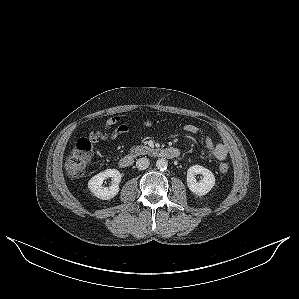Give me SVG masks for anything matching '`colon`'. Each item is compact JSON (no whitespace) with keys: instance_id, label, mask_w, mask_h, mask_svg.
Listing matches in <instances>:
<instances>
[{"instance_id":"1","label":"colon","mask_w":299,"mask_h":299,"mask_svg":"<svg viewBox=\"0 0 299 299\" xmlns=\"http://www.w3.org/2000/svg\"><path fill=\"white\" fill-rule=\"evenodd\" d=\"M92 144L89 139L82 138L78 140L74 150L67 157L65 162V169L71 177H81L84 175L90 161H91ZM222 173H227L229 166L222 163L219 166Z\"/></svg>"}]
</instances>
